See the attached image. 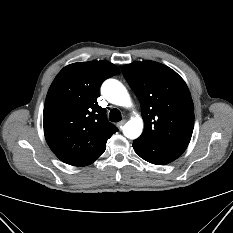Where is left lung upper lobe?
Listing matches in <instances>:
<instances>
[{"label": "left lung upper lobe", "instance_id": "left-lung-upper-lobe-1", "mask_svg": "<svg viewBox=\"0 0 233 233\" xmlns=\"http://www.w3.org/2000/svg\"><path fill=\"white\" fill-rule=\"evenodd\" d=\"M122 72L141 104L144 131L138 139L187 147L194 128V106L184 80L154 61L124 65Z\"/></svg>", "mask_w": 233, "mask_h": 233}]
</instances>
